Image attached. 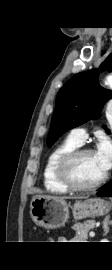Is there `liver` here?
I'll return each instance as SVG.
<instances>
[{
	"instance_id": "liver-1",
	"label": "liver",
	"mask_w": 112,
	"mask_h": 270,
	"mask_svg": "<svg viewBox=\"0 0 112 270\" xmlns=\"http://www.w3.org/2000/svg\"><path fill=\"white\" fill-rule=\"evenodd\" d=\"M35 197H46V198H61V199H64L65 197H54V196H49V195H44V196H41V195H37Z\"/></svg>"
}]
</instances>
